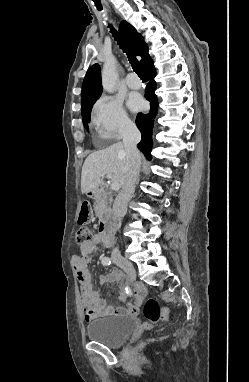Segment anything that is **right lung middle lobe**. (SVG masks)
Returning a JSON list of instances; mask_svg holds the SVG:
<instances>
[{
    "mask_svg": "<svg viewBox=\"0 0 249 382\" xmlns=\"http://www.w3.org/2000/svg\"><path fill=\"white\" fill-rule=\"evenodd\" d=\"M93 104L94 102L85 111L82 112L83 124L86 129H88V122L90 121V113Z\"/></svg>",
    "mask_w": 249,
    "mask_h": 382,
    "instance_id": "1",
    "label": "right lung middle lobe"
}]
</instances>
